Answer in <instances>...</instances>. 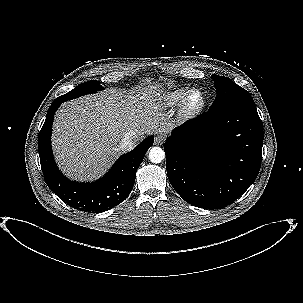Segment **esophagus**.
Returning a JSON list of instances; mask_svg holds the SVG:
<instances>
[{"mask_svg": "<svg viewBox=\"0 0 303 303\" xmlns=\"http://www.w3.org/2000/svg\"><path fill=\"white\" fill-rule=\"evenodd\" d=\"M164 140H165V137L162 134H160L154 138V143L156 145H161V144H163Z\"/></svg>", "mask_w": 303, "mask_h": 303, "instance_id": "esophagus-1", "label": "esophagus"}]
</instances>
